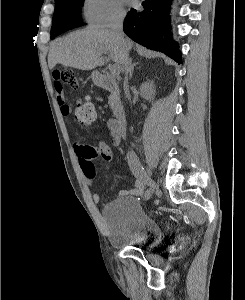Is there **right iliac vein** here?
<instances>
[{
    "instance_id": "63e3f726",
    "label": "right iliac vein",
    "mask_w": 245,
    "mask_h": 300,
    "mask_svg": "<svg viewBox=\"0 0 245 300\" xmlns=\"http://www.w3.org/2000/svg\"><path fill=\"white\" fill-rule=\"evenodd\" d=\"M149 175L151 176V173L149 172ZM149 186H153L154 187V192L158 191V186L156 185L155 181L150 178V184Z\"/></svg>"
}]
</instances>
